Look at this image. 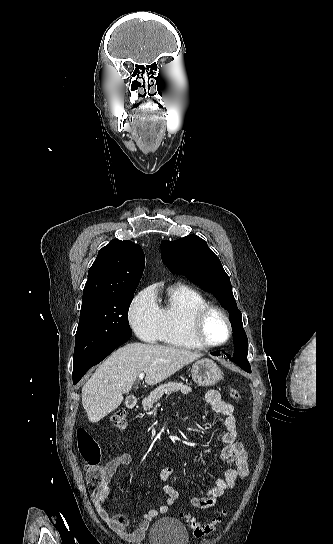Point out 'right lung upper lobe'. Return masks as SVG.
Segmentation results:
<instances>
[{"instance_id": "obj_1", "label": "right lung upper lobe", "mask_w": 333, "mask_h": 544, "mask_svg": "<svg viewBox=\"0 0 333 544\" xmlns=\"http://www.w3.org/2000/svg\"><path fill=\"white\" fill-rule=\"evenodd\" d=\"M144 266V252L138 244L112 240L99 251L89 269L82 304L97 297L134 291Z\"/></svg>"}]
</instances>
